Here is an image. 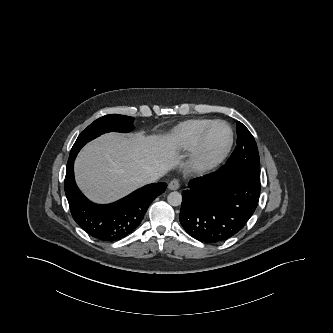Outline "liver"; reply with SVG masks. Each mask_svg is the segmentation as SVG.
<instances>
[{"label": "liver", "mask_w": 333, "mask_h": 333, "mask_svg": "<svg viewBox=\"0 0 333 333\" xmlns=\"http://www.w3.org/2000/svg\"><path fill=\"white\" fill-rule=\"evenodd\" d=\"M179 163L177 144L169 136L108 133L82 149L75 177L89 199L109 203L142 186L146 174L163 175Z\"/></svg>", "instance_id": "6515ba94"}]
</instances>
